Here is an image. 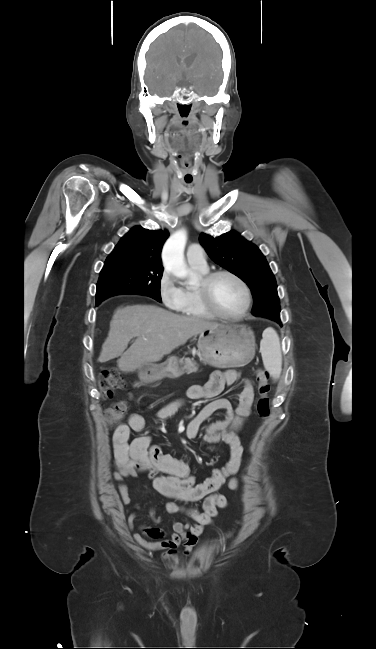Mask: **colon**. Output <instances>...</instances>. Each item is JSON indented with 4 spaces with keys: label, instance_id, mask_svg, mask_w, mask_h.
I'll list each match as a JSON object with an SVG mask.
<instances>
[{
    "label": "colon",
    "instance_id": "1",
    "mask_svg": "<svg viewBox=\"0 0 376 649\" xmlns=\"http://www.w3.org/2000/svg\"><path fill=\"white\" fill-rule=\"evenodd\" d=\"M269 377V373L265 369L259 368L256 370L255 378L257 382V392L259 395L256 408L257 414L262 419L268 418L271 412L269 399ZM99 387L104 398H111L115 390L122 389L124 387V380L118 371L114 369H106L103 370L100 374ZM127 410L128 402L121 400L107 407L104 411V414L107 422L110 425H113L125 415Z\"/></svg>",
    "mask_w": 376,
    "mask_h": 649
}]
</instances>
